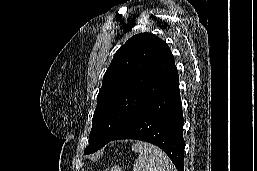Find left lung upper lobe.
<instances>
[{"instance_id": "obj_1", "label": "left lung upper lobe", "mask_w": 257, "mask_h": 171, "mask_svg": "<svg viewBox=\"0 0 257 171\" xmlns=\"http://www.w3.org/2000/svg\"><path fill=\"white\" fill-rule=\"evenodd\" d=\"M173 66L168 45L156 35L139 33L128 39L103 76L85 154L118 135L157 92Z\"/></svg>"}]
</instances>
